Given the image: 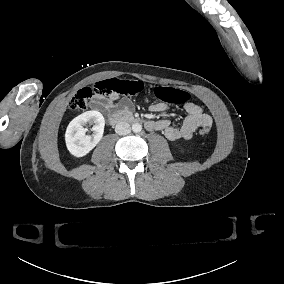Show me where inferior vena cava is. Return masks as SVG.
<instances>
[{
  "label": "inferior vena cava",
  "mask_w": 284,
  "mask_h": 284,
  "mask_svg": "<svg viewBox=\"0 0 284 284\" xmlns=\"http://www.w3.org/2000/svg\"><path fill=\"white\" fill-rule=\"evenodd\" d=\"M115 132L118 135H127L131 132V126L127 122H120L115 126Z\"/></svg>",
  "instance_id": "602c4592"
}]
</instances>
